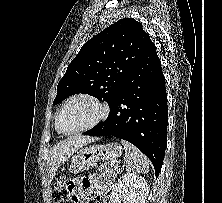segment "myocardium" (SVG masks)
I'll list each match as a JSON object with an SVG mask.
<instances>
[{"mask_svg":"<svg viewBox=\"0 0 222 203\" xmlns=\"http://www.w3.org/2000/svg\"><path fill=\"white\" fill-rule=\"evenodd\" d=\"M78 99H84V100H88V101L94 103L99 108L100 113H99L98 117L92 123H90L84 127H81L79 129L73 130V131H65L60 126L61 113L69 103H71L72 101L78 100ZM108 115H109L108 105L106 103H104L103 101H101L99 98H97L96 96H93L91 94H84V93L77 94V95L70 97L62 104V106L60 107V109L58 110V113L56 115L55 126H56L57 131L60 132L61 134L75 135V134L86 132L88 130L95 128L101 122H103L107 118Z\"/></svg>","mask_w":222,"mask_h":203,"instance_id":"f54148a6","label":"myocardium"}]
</instances>
